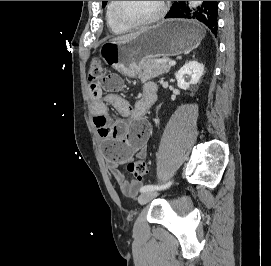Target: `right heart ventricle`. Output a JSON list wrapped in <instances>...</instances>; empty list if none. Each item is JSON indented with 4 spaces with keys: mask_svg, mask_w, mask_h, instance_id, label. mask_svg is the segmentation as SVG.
Returning a JSON list of instances; mask_svg holds the SVG:
<instances>
[{
    "mask_svg": "<svg viewBox=\"0 0 271 266\" xmlns=\"http://www.w3.org/2000/svg\"><path fill=\"white\" fill-rule=\"evenodd\" d=\"M112 7H113V1H109L107 4L106 13H105L106 22H107L109 29L115 34L126 33L127 31H129L130 28H128V27L120 24L118 21H116V19L113 16Z\"/></svg>",
    "mask_w": 271,
    "mask_h": 266,
    "instance_id": "obj_1",
    "label": "right heart ventricle"
}]
</instances>
